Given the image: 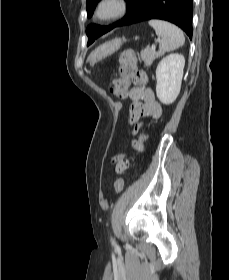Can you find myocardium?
Masks as SVG:
<instances>
[{"instance_id": "myocardium-1", "label": "myocardium", "mask_w": 229, "mask_h": 280, "mask_svg": "<svg viewBox=\"0 0 229 280\" xmlns=\"http://www.w3.org/2000/svg\"><path fill=\"white\" fill-rule=\"evenodd\" d=\"M129 8L128 0H99L94 7L93 18L99 23H109L124 17Z\"/></svg>"}]
</instances>
